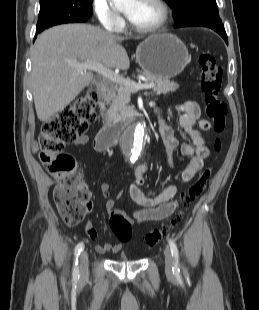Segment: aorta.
<instances>
[{
  "instance_id": "1",
  "label": "aorta",
  "mask_w": 259,
  "mask_h": 310,
  "mask_svg": "<svg viewBox=\"0 0 259 310\" xmlns=\"http://www.w3.org/2000/svg\"><path fill=\"white\" fill-rule=\"evenodd\" d=\"M116 9H122L132 0H111ZM124 147L129 154H140L144 148V127L139 124L134 129H130L124 136Z\"/></svg>"
}]
</instances>
